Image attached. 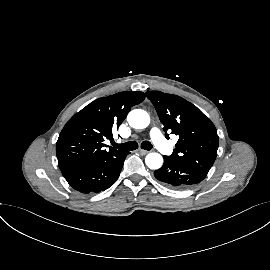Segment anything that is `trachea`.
<instances>
[{
	"instance_id": "1",
	"label": "trachea",
	"mask_w": 270,
	"mask_h": 270,
	"mask_svg": "<svg viewBox=\"0 0 270 270\" xmlns=\"http://www.w3.org/2000/svg\"><path fill=\"white\" fill-rule=\"evenodd\" d=\"M113 146L117 149L132 151L138 148V143L136 141H130L123 144L113 143ZM141 148L145 150H151L152 144L149 141H143Z\"/></svg>"
}]
</instances>
